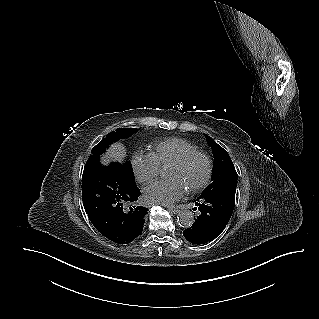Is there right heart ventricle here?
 Returning a JSON list of instances; mask_svg holds the SVG:
<instances>
[{
    "label": "right heart ventricle",
    "instance_id": "1",
    "mask_svg": "<svg viewBox=\"0 0 319 319\" xmlns=\"http://www.w3.org/2000/svg\"><path fill=\"white\" fill-rule=\"evenodd\" d=\"M195 150H198L197 146L189 140L172 137L153 144L151 155L160 167H167L184 154Z\"/></svg>",
    "mask_w": 319,
    "mask_h": 319
}]
</instances>
